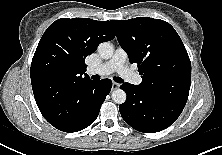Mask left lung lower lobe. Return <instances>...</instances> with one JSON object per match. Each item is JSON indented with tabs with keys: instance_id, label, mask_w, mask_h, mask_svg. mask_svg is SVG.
<instances>
[{
	"instance_id": "1",
	"label": "left lung lower lobe",
	"mask_w": 222,
	"mask_h": 155,
	"mask_svg": "<svg viewBox=\"0 0 222 155\" xmlns=\"http://www.w3.org/2000/svg\"><path fill=\"white\" fill-rule=\"evenodd\" d=\"M120 88L127 94L126 101L119 106L120 114L127 124L140 132L155 133L166 129L185 106L147 93L138 85L126 82Z\"/></svg>"
}]
</instances>
